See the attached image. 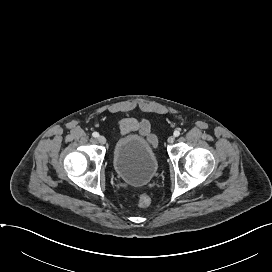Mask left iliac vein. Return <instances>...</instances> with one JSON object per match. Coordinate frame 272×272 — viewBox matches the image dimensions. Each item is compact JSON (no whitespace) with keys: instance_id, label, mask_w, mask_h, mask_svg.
Returning a JSON list of instances; mask_svg holds the SVG:
<instances>
[{"instance_id":"left-iliac-vein-1","label":"left iliac vein","mask_w":272,"mask_h":272,"mask_svg":"<svg viewBox=\"0 0 272 272\" xmlns=\"http://www.w3.org/2000/svg\"><path fill=\"white\" fill-rule=\"evenodd\" d=\"M175 141V137L174 136H170L169 138H168V143H173Z\"/></svg>"}]
</instances>
